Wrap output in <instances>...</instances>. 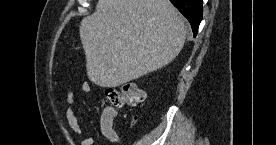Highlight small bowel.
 <instances>
[{"instance_id":"c3829d8e","label":"small bowel","mask_w":276,"mask_h":145,"mask_svg":"<svg viewBox=\"0 0 276 145\" xmlns=\"http://www.w3.org/2000/svg\"><path fill=\"white\" fill-rule=\"evenodd\" d=\"M79 90L83 94H87L90 92L91 88L88 82H83ZM66 107L61 104L59 106L61 111H64L66 121L70 129L78 134H85V130L80 125L77 116L75 114V102L76 95L73 91H69L65 98ZM100 130L103 136L111 143L118 144L120 141L119 135L116 133L114 129V118L112 111L103 112L100 117ZM94 138L91 135H87L81 142L80 145H93Z\"/></svg>"}]
</instances>
